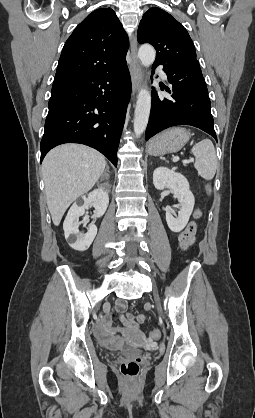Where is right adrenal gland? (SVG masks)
I'll list each match as a JSON object with an SVG mask.
<instances>
[{
  "label": "right adrenal gland",
  "instance_id": "right-adrenal-gland-1",
  "mask_svg": "<svg viewBox=\"0 0 255 418\" xmlns=\"http://www.w3.org/2000/svg\"><path fill=\"white\" fill-rule=\"evenodd\" d=\"M108 179L110 177V171H109V166H106V169L104 171V175L101 177V180H104L105 178Z\"/></svg>",
  "mask_w": 255,
  "mask_h": 418
}]
</instances>
